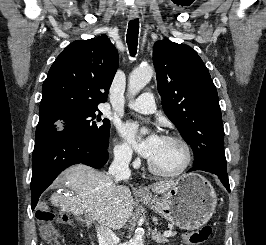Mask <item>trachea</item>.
<instances>
[{
    "label": "trachea",
    "instance_id": "1",
    "mask_svg": "<svg viewBox=\"0 0 266 245\" xmlns=\"http://www.w3.org/2000/svg\"><path fill=\"white\" fill-rule=\"evenodd\" d=\"M138 33H139V21L138 19L129 22L127 30V44L129 52L132 56L136 54L138 44Z\"/></svg>",
    "mask_w": 266,
    "mask_h": 245
}]
</instances>
